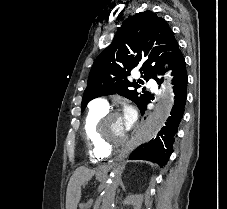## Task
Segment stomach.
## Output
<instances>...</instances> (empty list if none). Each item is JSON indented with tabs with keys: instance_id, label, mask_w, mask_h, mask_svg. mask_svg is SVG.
<instances>
[{
	"instance_id": "1",
	"label": "stomach",
	"mask_w": 227,
	"mask_h": 209,
	"mask_svg": "<svg viewBox=\"0 0 227 209\" xmlns=\"http://www.w3.org/2000/svg\"><path fill=\"white\" fill-rule=\"evenodd\" d=\"M98 179H99V180H101V179H102V177H101V176H98Z\"/></svg>"
}]
</instances>
